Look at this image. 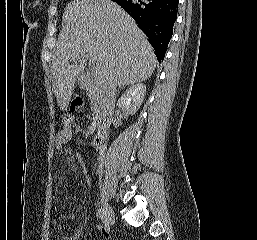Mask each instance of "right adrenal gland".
<instances>
[{
    "label": "right adrenal gland",
    "instance_id": "right-adrenal-gland-1",
    "mask_svg": "<svg viewBox=\"0 0 257 240\" xmlns=\"http://www.w3.org/2000/svg\"><path fill=\"white\" fill-rule=\"evenodd\" d=\"M121 88H122V87H120V88L118 89V93H119V91H120Z\"/></svg>",
    "mask_w": 257,
    "mask_h": 240
}]
</instances>
